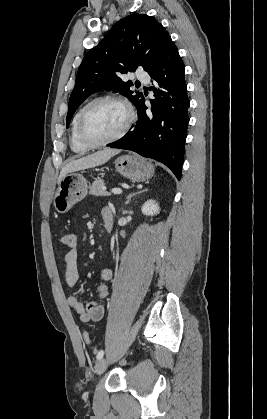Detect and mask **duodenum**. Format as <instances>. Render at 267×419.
<instances>
[{
  "mask_svg": "<svg viewBox=\"0 0 267 419\" xmlns=\"http://www.w3.org/2000/svg\"><path fill=\"white\" fill-rule=\"evenodd\" d=\"M104 228L107 232H110L113 228V219L112 218H106L104 219Z\"/></svg>",
  "mask_w": 267,
  "mask_h": 419,
  "instance_id": "duodenum-1",
  "label": "duodenum"
}]
</instances>
